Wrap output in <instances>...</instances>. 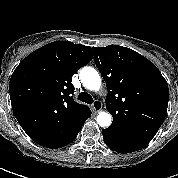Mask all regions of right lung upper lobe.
Wrapping results in <instances>:
<instances>
[{"mask_svg":"<svg viewBox=\"0 0 178 178\" xmlns=\"http://www.w3.org/2000/svg\"><path fill=\"white\" fill-rule=\"evenodd\" d=\"M93 58L91 47L51 42L25 57L9 84L16 119L36 143L57 148L77 136L91 116L74 101L72 76Z\"/></svg>","mask_w":178,"mask_h":178,"instance_id":"obj_1","label":"right lung upper lobe"}]
</instances>
